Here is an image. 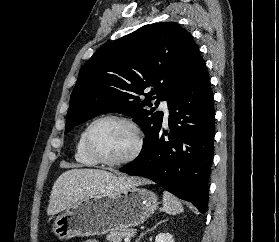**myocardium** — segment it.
<instances>
[{"label":"myocardium","instance_id":"1","mask_svg":"<svg viewBox=\"0 0 279 242\" xmlns=\"http://www.w3.org/2000/svg\"><path fill=\"white\" fill-rule=\"evenodd\" d=\"M104 121H117L128 125L134 132L135 135V145L133 150L130 152L129 155L122 159L118 160H109L102 157L93 146L92 141V133L94 128L101 122ZM144 145V134L140 125L131 117L123 116V115H116V114H108L104 116H100L96 118L94 121L90 123V125L86 129L85 133V147L88 154L99 164L107 165V166H122L129 164L135 161L142 152Z\"/></svg>","mask_w":279,"mask_h":242}]
</instances>
